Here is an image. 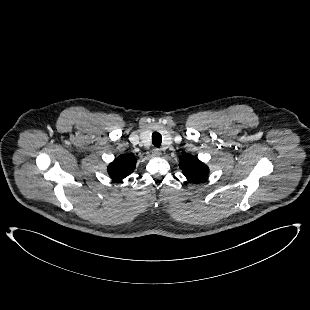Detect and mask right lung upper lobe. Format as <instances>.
Returning <instances> with one entry per match:
<instances>
[{"label": "right lung upper lobe", "mask_w": 310, "mask_h": 310, "mask_svg": "<svg viewBox=\"0 0 310 310\" xmlns=\"http://www.w3.org/2000/svg\"><path fill=\"white\" fill-rule=\"evenodd\" d=\"M136 162L137 159L134 155H120L109 164L108 173L114 180H122L134 171Z\"/></svg>", "instance_id": "obj_1"}]
</instances>
